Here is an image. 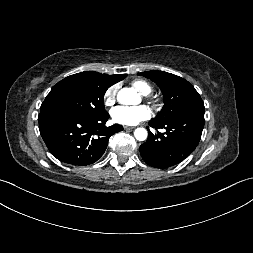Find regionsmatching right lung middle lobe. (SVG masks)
Returning <instances> with one entry per match:
<instances>
[{
    "instance_id": "obj_1",
    "label": "right lung middle lobe",
    "mask_w": 253,
    "mask_h": 253,
    "mask_svg": "<svg viewBox=\"0 0 253 253\" xmlns=\"http://www.w3.org/2000/svg\"><path fill=\"white\" fill-rule=\"evenodd\" d=\"M105 74L86 71L58 82L41 105L40 113H68L98 117L106 113L104 94L113 85Z\"/></svg>"
}]
</instances>
